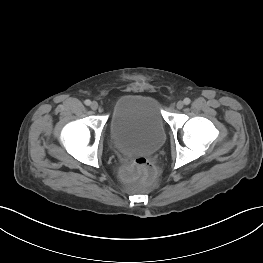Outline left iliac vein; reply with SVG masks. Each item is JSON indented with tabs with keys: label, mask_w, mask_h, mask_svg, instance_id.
<instances>
[{
	"label": "left iliac vein",
	"mask_w": 263,
	"mask_h": 263,
	"mask_svg": "<svg viewBox=\"0 0 263 263\" xmlns=\"http://www.w3.org/2000/svg\"><path fill=\"white\" fill-rule=\"evenodd\" d=\"M177 109H182L184 107V102L183 101H178L176 104Z\"/></svg>",
	"instance_id": "left-iliac-vein-1"
}]
</instances>
